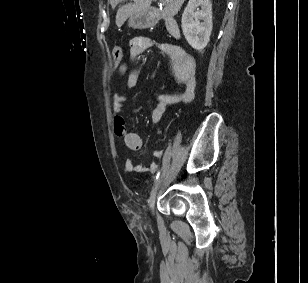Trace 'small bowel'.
<instances>
[{"label":"small bowel","mask_w":308,"mask_h":283,"mask_svg":"<svg viewBox=\"0 0 308 283\" xmlns=\"http://www.w3.org/2000/svg\"><path fill=\"white\" fill-rule=\"evenodd\" d=\"M155 43L147 37H136L130 42V56L138 58ZM159 48L165 53L170 62L173 77L177 84L183 86V90L173 93H163L156 97V105L151 112V120L158 122L166 113L169 107L176 103H186L192 100L195 88V65L192 58L179 46L163 43ZM119 81L125 78L128 88H135L139 82V73L131 71L127 73L125 65L117 67ZM125 95L116 93L112 99V110L114 113V132L117 136L123 138L126 147L131 151H139L143 146V140L139 134L128 129L125 118L122 115ZM155 157H161L162 150L154 151ZM157 164L152 162L148 167L135 164L131 159L125 162V169L129 172H150L154 171Z\"/></svg>","instance_id":"1"}]
</instances>
